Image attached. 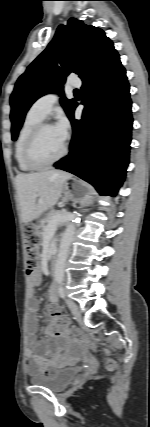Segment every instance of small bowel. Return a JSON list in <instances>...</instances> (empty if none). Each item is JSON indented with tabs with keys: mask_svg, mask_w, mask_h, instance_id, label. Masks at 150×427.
Returning a JSON list of instances; mask_svg holds the SVG:
<instances>
[{
	"mask_svg": "<svg viewBox=\"0 0 150 427\" xmlns=\"http://www.w3.org/2000/svg\"><path fill=\"white\" fill-rule=\"evenodd\" d=\"M42 270H47L45 265H43ZM40 282L41 270L36 269L29 276V283L34 288L39 286ZM49 298L53 303H57L58 301L56 285L54 283L49 289ZM38 309L39 302L31 295L28 316L25 323L27 335V348L25 350L26 369L30 375H46L66 362L70 357L77 356L82 352L81 345L66 336L57 341H52L48 338L37 340ZM35 349L40 351V353H36Z\"/></svg>",
	"mask_w": 150,
	"mask_h": 427,
	"instance_id": "small-bowel-1",
	"label": "small bowel"
}]
</instances>
